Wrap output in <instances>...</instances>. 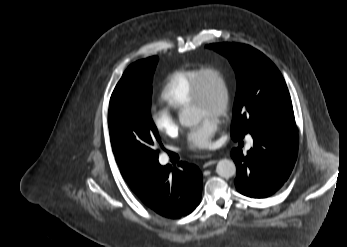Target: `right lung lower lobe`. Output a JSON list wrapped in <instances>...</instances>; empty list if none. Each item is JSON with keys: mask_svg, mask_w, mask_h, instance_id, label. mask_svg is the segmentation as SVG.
<instances>
[{"mask_svg": "<svg viewBox=\"0 0 347 247\" xmlns=\"http://www.w3.org/2000/svg\"><path fill=\"white\" fill-rule=\"evenodd\" d=\"M180 168L156 163L142 187L133 190L140 200L156 213L180 218L191 213L200 203L202 174L193 164L180 162Z\"/></svg>", "mask_w": 347, "mask_h": 247, "instance_id": "1", "label": "right lung lower lobe"}]
</instances>
